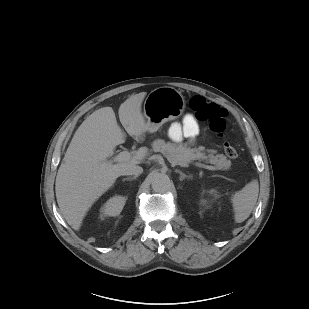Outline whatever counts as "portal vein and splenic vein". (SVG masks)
<instances>
[{
  "label": "portal vein and splenic vein",
  "mask_w": 309,
  "mask_h": 309,
  "mask_svg": "<svg viewBox=\"0 0 309 309\" xmlns=\"http://www.w3.org/2000/svg\"><path fill=\"white\" fill-rule=\"evenodd\" d=\"M135 157L136 156H132V154L128 151H122L119 154H117L116 156H114L110 160V162H124V161L134 159ZM201 167L208 169V170H216V168L214 166H210V165L201 164Z\"/></svg>",
  "instance_id": "portal-vein-and-splenic-vein-1"
}]
</instances>
